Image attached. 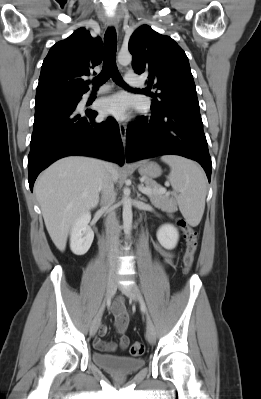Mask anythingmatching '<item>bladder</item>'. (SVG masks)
Instances as JSON below:
<instances>
[{"label": "bladder", "instance_id": "obj_1", "mask_svg": "<svg viewBox=\"0 0 261 399\" xmlns=\"http://www.w3.org/2000/svg\"><path fill=\"white\" fill-rule=\"evenodd\" d=\"M93 362L107 372L121 375H131L143 368L145 361L142 358L124 355H105L99 352L92 353Z\"/></svg>", "mask_w": 261, "mask_h": 399}]
</instances>
